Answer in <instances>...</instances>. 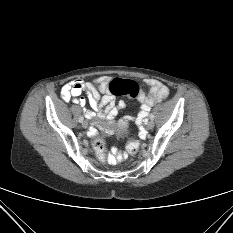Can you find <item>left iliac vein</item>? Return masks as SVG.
<instances>
[{
    "label": "left iliac vein",
    "instance_id": "left-iliac-vein-1",
    "mask_svg": "<svg viewBox=\"0 0 233 233\" xmlns=\"http://www.w3.org/2000/svg\"><path fill=\"white\" fill-rule=\"evenodd\" d=\"M146 128L148 130H151L154 128V122L152 120H150L147 124H146Z\"/></svg>",
    "mask_w": 233,
    "mask_h": 233
}]
</instances>
